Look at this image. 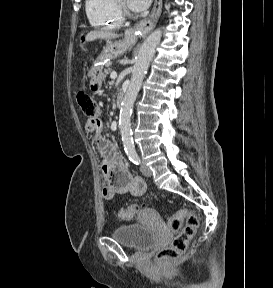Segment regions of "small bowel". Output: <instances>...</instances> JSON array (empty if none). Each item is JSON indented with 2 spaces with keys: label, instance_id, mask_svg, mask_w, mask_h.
<instances>
[{
  "label": "small bowel",
  "instance_id": "obj_1",
  "mask_svg": "<svg viewBox=\"0 0 273 288\" xmlns=\"http://www.w3.org/2000/svg\"><path fill=\"white\" fill-rule=\"evenodd\" d=\"M85 130L94 133L102 158L101 170L107 180V184L102 189L103 198L111 200L116 195H143L146 191L144 180L139 176H133L128 171L114 145L107 138L103 123L98 118H88L85 123Z\"/></svg>",
  "mask_w": 273,
  "mask_h": 288
}]
</instances>
